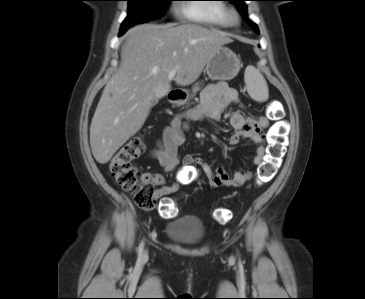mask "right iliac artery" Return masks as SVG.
<instances>
[{"label": "right iliac artery", "instance_id": "right-iliac-artery-1", "mask_svg": "<svg viewBox=\"0 0 365 299\" xmlns=\"http://www.w3.org/2000/svg\"><path fill=\"white\" fill-rule=\"evenodd\" d=\"M143 247H144V243L141 242V244L139 245V249H138V254L141 255L143 252Z\"/></svg>", "mask_w": 365, "mask_h": 299}]
</instances>
